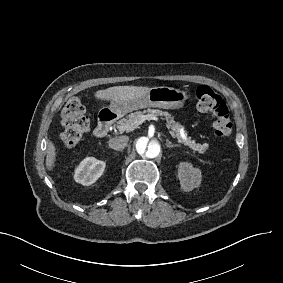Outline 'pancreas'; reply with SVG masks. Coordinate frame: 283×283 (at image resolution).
Wrapping results in <instances>:
<instances>
[{
    "instance_id": "pancreas-1",
    "label": "pancreas",
    "mask_w": 283,
    "mask_h": 283,
    "mask_svg": "<svg viewBox=\"0 0 283 283\" xmlns=\"http://www.w3.org/2000/svg\"><path fill=\"white\" fill-rule=\"evenodd\" d=\"M151 115L154 116H160V117H164L166 119V126L167 128H171L173 131H175L176 133L173 134L174 137H177V140L179 143L184 144L185 146H188L190 149L197 151L199 154H206L208 148H209V144L205 143V144H198L197 142H195L194 140H192L190 137H188L187 140H184L182 138V135L180 134V128L182 127L181 124H179L178 122H176L171 115L168 112H164L162 110H158V109H152L149 110ZM147 112H135L129 115L128 119H122L119 122L120 125V131L122 132H130L132 131V128H134V126L142 120V117L146 114ZM186 134V133H185ZM187 135V134H186Z\"/></svg>"
}]
</instances>
